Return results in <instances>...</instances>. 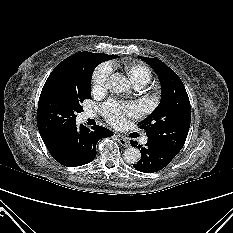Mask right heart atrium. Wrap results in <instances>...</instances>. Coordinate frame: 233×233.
Wrapping results in <instances>:
<instances>
[{
	"label": "right heart atrium",
	"instance_id": "right-heart-atrium-1",
	"mask_svg": "<svg viewBox=\"0 0 233 233\" xmlns=\"http://www.w3.org/2000/svg\"><path fill=\"white\" fill-rule=\"evenodd\" d=\"M112 71L113 67L109 62L102 63L96 67L92 74V83L95 91L101 90L106 86Z\"/></svg>",
	"mask_w": 233,
	"mask_h": 233
}]
</instances>
